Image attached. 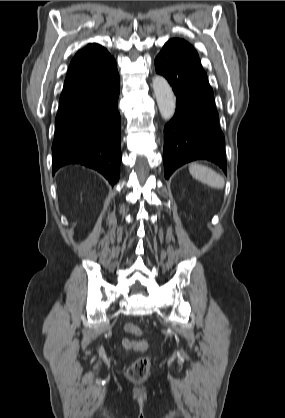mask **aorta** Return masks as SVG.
<instances>
[{
	"label": "aorta",
	"instance_id": "obj_1",
	"mask_svg": "<svg viewBox=\"0 0 285 418\" xmlns=\"http://www.w3.org/2000/svg\"><path fill=\"white\" fill-rule=\"evenodd\" d=\"M153 90L160 114L164 120H170L175 113V96L167 80L156 75L153 80Z\"/></svg>",
	"mask_w": 285,
	"mask_h": 418
}]
</instances>
